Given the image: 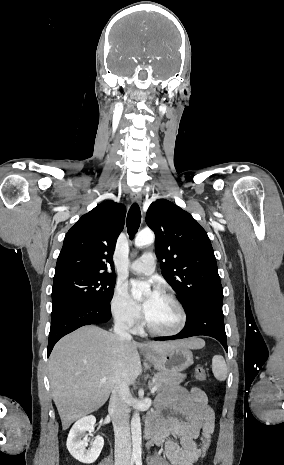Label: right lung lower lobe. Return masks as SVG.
Listing matches in <instances>:
<instances>
[{
    "instance_id": "1",
    "label": "right lung lower lobe",
    "mask_w": 284,
    "mask_h": 465,
    "mask_svg": "<svg viewBox=\"0 0 284 465\" xmlns=\"http://www.w3.org/2000/svg\"><path fill=\"white\" fill-rule=\"evenodd\" d=\"M110 318V304L76 302L67 304L53 312L48 339V356L56 342L66 334L84 325L104 324Z\"/></svg>"
}]
</instances>
